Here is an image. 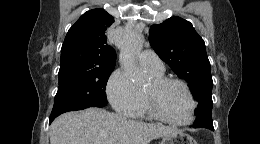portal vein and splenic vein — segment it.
<instances>
[{
    "label": "portal vein and splenic vein",
    "instance_id": "obj_1",
    "mask_svg": "<svg viewBox=\"0 0 260 144\" xmlns=\"http://www.w3.org/2000/svg\"><path fill=\"white\" fill-rule=\"evenodd\" d=\"M110 144H117L116 142H111Z\"/></svg>",
    "mask_w": 260,
    "mask_h": 144
}]
</instances>
